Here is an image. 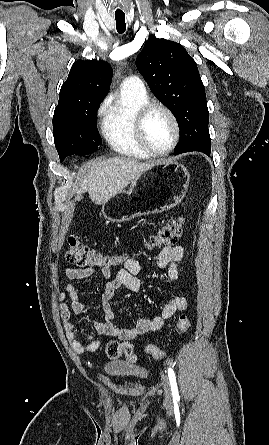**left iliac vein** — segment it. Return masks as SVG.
I'll list each match as a JSON object with an SVG mask.
<instances>
[{
  "label": "left iliac vein",
  "instance_id": "left-iliac-vein-1",
  "mask_svg": "<svg viewBox=\"0 0 269 445\" xmlns=\"http://www.w3.org/2000/svg\"><path fill=\"white\" fill-rule=\"evenodd\" d=\"M164 394H165V398L167 400H171V398H172V390H171V386H170L169 380L167 378L164 379Z\"/></svg>",
  "mask_w": 269,
  "mask_h": 445
}]
</instances>
